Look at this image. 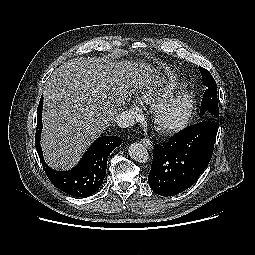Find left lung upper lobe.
<instances>
[{
  "instance_id": "left-lung-upper-lobe-1",
  "label": "left lung upper lobe",
  "mask_w": 255,
  "mask_h": 255,
  "mask_svg": "<svg viewBox=\"0 0 255 255\" xmlns=\"http://www.w3.org/2000/svg\"><path fill=\"white\" fill-rule=\"evenodd\" d=\"M199 70L202 75L203 83L208 88L203 95L200 108V116L202 117L205 113H209L211 117L207 118V120L215 121V118L219 117L217 84L208 70L202 67H199Z\"/></svg>"
}]
</instances>
